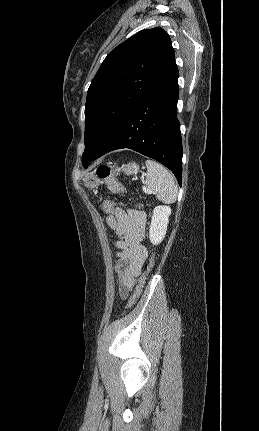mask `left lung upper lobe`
<instances>
[{"mask_svg": "<svg viewBox=\"0 0 259 431\" xmlns=\"http://www.w3.org/2000/svg\"><path fill=\"white\" fill-rule=\"evenodd\" d=\"M175 62L169 35L160 27L142 30L112 50L89 87L85 105V168L126 113Z\"/></svg>", "mask_w": 259, "mask_h": 431, "instance_id": "1", "label": "left lung upper lobe"}]
</instances>
